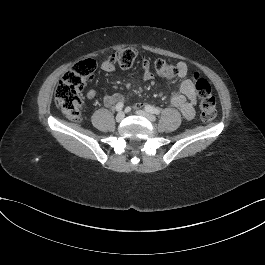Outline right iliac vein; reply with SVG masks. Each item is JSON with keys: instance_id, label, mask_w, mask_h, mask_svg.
<instances>
[{"instance_id": "obj_1", "label": "right iliac vein", "mask_w": 265, "mask_h": 265, "mask_svg": "<svg viewBox=\"0 0 265 265\" xmlns=\"http://www.w3.org/2000/svg\"><path fill=\"white\" fill-rule=\"evenodd\" d=\"M124 117H125L124 112H119V113L116 115V121H117V122H121V121H123Z\"/></svg>"}]
</instances>
